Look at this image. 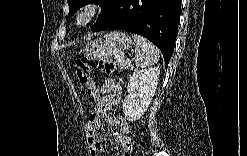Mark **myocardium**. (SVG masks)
Returning a JSON list of instances; mask_svg holds the SVG:
<instances>
[{
  "label": "myocardium",
  "instance_id": "myocardium-1",
  "mask_svg": "<svg viewBox=\"0 0 247 156\" xmlns=\"http://www.w3.org/2000/svg\"><path fill=\"white\" fill-rule=\"evenodd\" d=\"M99 13V8L95 5L83 6L75 16V22L79 26H84L90 23Z\"/></svg>",
  "mask_w": 247,
  "mask_h": 156
}]
</instances>
